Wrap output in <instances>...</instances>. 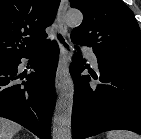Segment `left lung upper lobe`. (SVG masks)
Here are the masks:
<instances>
[{"mask_svg": "<svg viewBox=\"0 0 141 139\" xmlns=\"http://www.w3.org/2000/svg\"><path fill=\"white\" fill-rule=\"evenodd\" d=\"M82 11L71 32L75 44L93 48L100 57L141 64V34L131 9L122 0H70Z\"/></svg>", "mask_w": 141, "mask_h": 139, "instance_id": "5c2ea615", "label": "left lung upper lobe"}]
</instances>
